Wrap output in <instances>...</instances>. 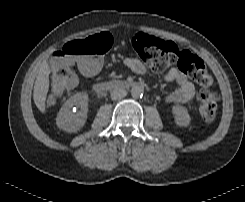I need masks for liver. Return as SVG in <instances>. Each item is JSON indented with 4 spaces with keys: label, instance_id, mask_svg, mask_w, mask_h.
<instances>
[{
    "label": "liver",
    "instance_id": "obj_1",
    "mask_svg": "<svg viewBox=\"0 0 245 202\" xmlns=\"http://www.w3.org/2000/svg\"><path fill=\"white\" fill-rule=\"evenodd\" d=\"M49 66L46 61H43L38 67V75L34 84V102L37 108L42 112H46V96L49 90Z\"/></svg>",
    "mask_w": 245,
    "mask_h": 202
}]
</instances>
